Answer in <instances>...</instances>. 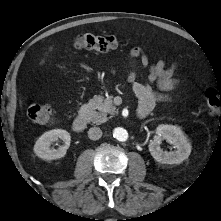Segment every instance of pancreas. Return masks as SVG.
I'll list each match as a JSON object with an SVG mask.
<instances>
[{"instance_id": "pancreas-1", "label": "pancreas", "mask_w": 221, "mask_h": 221, "mask_svg": "<svg viewBox=\"0 0 221 221\" xmlns=\"http://www.w3.org/2000/svg\"><path fill=\"white\" fill-rule=\"evenodd\" d=\"M89 105L93 109H97L99 111L90 117V121L93 123H102L107 120V114L113 116L118 112L116 107L113 105L112 97L104 99L103 96H95L89 101Z\"/></svg>"}]
</instances>
